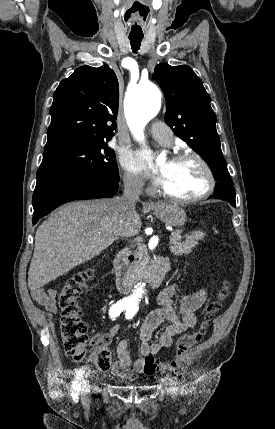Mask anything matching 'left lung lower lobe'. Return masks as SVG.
<instances>
[{"instance_id":"0a47b994","label":"left lung lower lobe","mask_w":275,"mask_h":429,"mask_svg":"<svg viewBox=\"0 0 275 429\" xmlns=\"http://www.w3.org/2000/svg\"><path fill=\"white\" fill-rule=\"evenodd\" d=\"M213 197L217 198V199L225 200V201L229 202L233 207H235V205H236L235 201L230 200L229 196L223 195L221 193H215L213 195Z\"/></svg>"}]
</instances>
